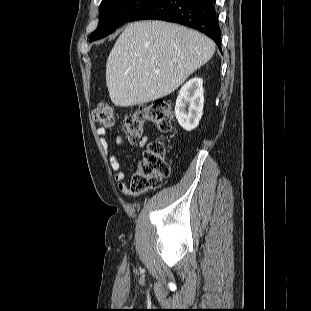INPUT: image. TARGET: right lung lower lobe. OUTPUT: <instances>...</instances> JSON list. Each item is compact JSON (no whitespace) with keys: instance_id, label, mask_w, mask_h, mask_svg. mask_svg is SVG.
<instances>
[{"instance_id":"obj_1","label":"right lung lower lobe","mask_w":311,"mask_h":311,"mask_svg":"<svg viewBox=\"0 0 311 311\" xmlns=\"http://www.w3.org/2000/svg\"><path fill=\"white\" fill-rule=\"evenodd\" d=\"M145 19L179 23L206 34L221 50V31L213 0H153L127 22Z\"/></svg>"}]
</instances>
